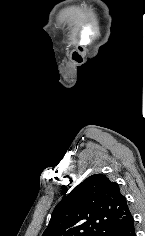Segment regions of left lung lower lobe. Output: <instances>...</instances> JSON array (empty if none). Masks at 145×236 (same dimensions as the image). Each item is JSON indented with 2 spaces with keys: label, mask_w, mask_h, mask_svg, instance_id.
<instances>
[{
  "label": "left lung lower lobe",
  "mask_w": 145,
  "mask_h": 236,
  "mask_svg": "<svg viewBox=\"0 0 145 236\" xmlns=\"http://www.w3.org/2000/svg\"><path fill=\"white\" fill-rule=\"evenodd\" d=\"M114 236H136L134 219L131 216L129 220L115 233Z\"/></svg>",
  "instance_id": "obj_1"
}]
</instances>
